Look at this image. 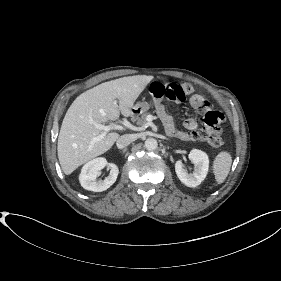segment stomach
<instances>
[{
    "label": "stomach",
    "mask_w": 281,
    "mask_h": 281,
    "mask_svg": "<svg viewBox=\"0 0 281 281\" xmlns=\"http://www.w3.org/2000/svg\"><path fill=\"white\" fill-rule=\"evenodd\" d=\"M149 108H150L149 103L143 101L135 104V106L132 109L135 115H140L145 113L147 110H149Z\"/></svg>",
    "instance_id": "0dacf381"
}]
</instances>
